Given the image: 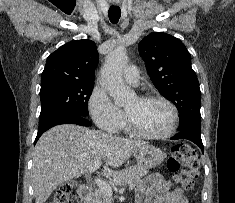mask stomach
Returning a JSON list of instances; mask_svg holds the SVG:
<instances>
[{
    "instance_id": "0dacf381",
    "label": "stomach",
    "mask_w": 235,
    "mask_h": 203,
    "mask_svg": "<svg viewBox=\"0 0 235 203\" xmlns=\"http://www.w3.org/2000/svg\"><path fill=\"white\" fill-rule=\"evenodd\" d=\"M138 164L145 168H153L161 164L165 158V153L152 145H145L135 151Z\"/></svg>"
}]
</instances>
